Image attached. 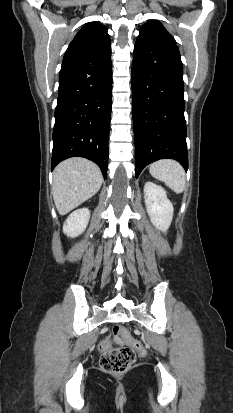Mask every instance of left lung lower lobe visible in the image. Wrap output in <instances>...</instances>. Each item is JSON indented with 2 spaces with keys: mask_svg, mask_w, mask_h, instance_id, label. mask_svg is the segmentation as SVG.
<instances>
[{
  "mask_svg": "<svg viewBox=\"0 0 233 413\" xmlns=\"http://www.w3.org/2000/svg\"><path fill=\"white\" fill-rule=\"evenodd\" d=\"M183 67L176 45L149 39L136 42L132 102L136 177L159 159L180 162L187 171Z\"/></svg>",
  "mask_w": 233,
  "mask_h": 413,
  "instance_id": "left-lung-lower-lobe-1",
  "label": "left lung lower lobe"
}]
</instances>
